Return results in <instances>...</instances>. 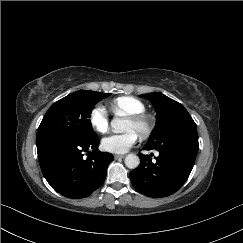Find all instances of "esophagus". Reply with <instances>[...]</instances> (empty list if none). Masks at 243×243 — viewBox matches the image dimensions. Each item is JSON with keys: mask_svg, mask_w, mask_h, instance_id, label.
Masks as SVG:
<instances>
[{"mask_svg": "<svg viewBox=\"0 0 243 243\" xmlns=\"http://www.w3.org/2000/svg\"><path fill=\"white\" fill-rule=\"evenodd\" d=\"M124 157H125V155H118V154L114 155L115 159H120V158H124Z\"/></svg>", "mask_w": 243, "mask_h": 243, "instance_id": "obj_1", "label": "esophagus"}]
</instances>
